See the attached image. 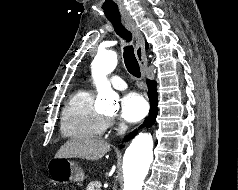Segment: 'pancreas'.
Returning a JSON list of instances; mask_svg holds the SVG:
<instances>
[{"label": "pancreas", "instance_id": "1", "mask_svg": "<svg viewBox=\"0 0 238 190\" xmlns=\"http://www.w3.org/2000/svg\"><path fill=\"white\" fill-rule=\"evenodd\" d=\"M100 188L101 183L99 181H92L87 185L86 190H101Z\"/></svg>", "mask_w": 238, "mask_h": 190}]
</instances>
